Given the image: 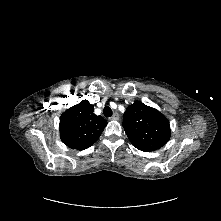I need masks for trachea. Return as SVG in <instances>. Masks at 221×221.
Masks as SVG:
<instances>
[{
  "label": "trachea",
  "mask_w": 221,
  "mask_h": 221,
  "mask_svg": "<svg viewBox=\"0 0 221 221\" xmlns=\"http://www.w3.org/2000/svg\"><path fill=\"white\" fill-rule=\"evenodd\" d=\"M112 109L109 106H105L103 109V114L105 117H111L112 116Z\"/></svg>",
  "instance_id": "obj_1"
}]
</instances>
